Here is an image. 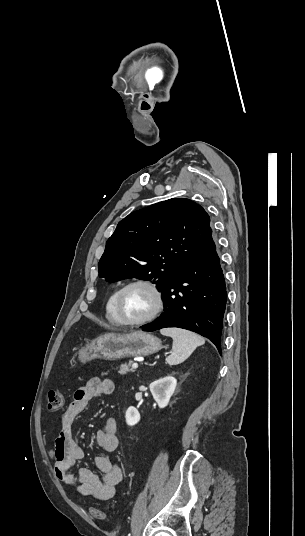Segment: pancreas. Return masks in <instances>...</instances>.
Here are the masks:
<instances>
[{
    "mask_svg": "<svg viewBox=\"0 0 305 536\" xmlns=\"http://www.w3.org/2000/svg\"><path fill=\"white\" fill-rule=\"evenodd\" d=\"M131 364L132 362H129V364H121L120 370H118V374H121V376H123V374H127V372H134V370H130Z\"/></svg>",
    "mask_w": 305,
    "mask_h": 536,
    "instance_id": "1",
    "label": "pancreas"
}]
</instances>
